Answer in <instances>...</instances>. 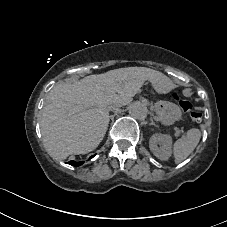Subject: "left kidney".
Wrapping results in <instances>:
<instances>
[{
    "mask_svg": "<svg viewBox=\"0 0 227 227\" xmlns=\"http://www.w3.org/2000/svg\"><path fill=\"white\" fill-rule=\"evenodd\" d=\"M151 152L161 160H166L171 154V137L163 134H155L150 138Z\"/></svg>",
    "mask_w": 227,
    "mask_h": 227,
    "instance_id": "obj_1",
    "label": "left kidney"
}]
</instances>
